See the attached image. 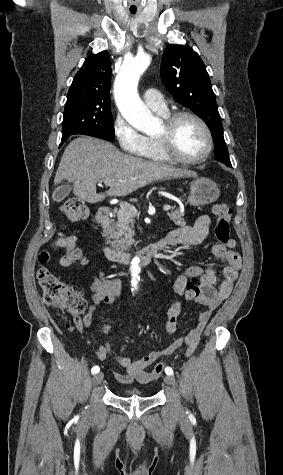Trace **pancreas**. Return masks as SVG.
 I'll return each instance as SVG.
<instances>
[{
  "instance_id": "pancreas-1",
  "label": "pancreas",
  "mask_w": 283,
  "mask_h": 475,
  "mask_svg": "<svg viewBox=\"0 0 283 475\" xmlns=\"http://www.w3.org/2000/svg\"><path fill=\"white\" fill-rule=\"evenodd\" d=\"M136 214L131 210H122L120 214H117V222H112V228L104 234L106 243H109L115 251L125 253L127 249H130L131 245H136L137 241L133 239L135 232L133 230V224ZM170 220L176 224V226H186V222L183 218L184 214H181L180 210H174V212H167Z\"/></svg>"
}]
</instances>
